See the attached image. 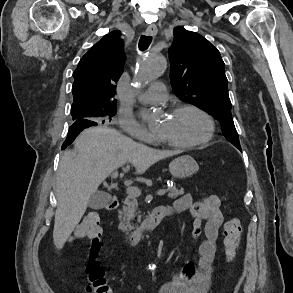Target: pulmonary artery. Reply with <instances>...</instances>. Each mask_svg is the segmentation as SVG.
<instances>
[{
    "label": "pulmonary artery",
    "mask_w": 293,
    "mask_h": 293,
    "mask_svg": "<svg viewBox=\"0 0 293 293\" xmlns=\"http://www.w3.org/2000/svg\"><path fill=\"white\" fill-rule=\"evenodd\" d=\"M166 99L167 92L162 82L152 84L148 90L140 96V100L150 104H160Z\"/></svg>",
    "instance_id": "obj_1"
}]
</instances>
